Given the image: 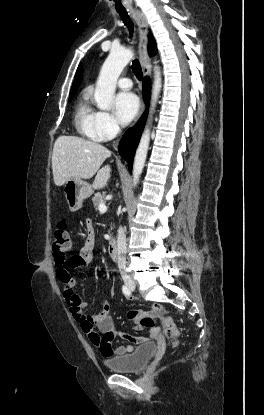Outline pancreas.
Masks as SVG:
<instances>
[{"instance_id":"1","label":"pancreas","mask_w":264,"mask_h":415,"mask_svg":"<svg viewBox=\"0 0 264 415\" xmlns=\"http://www.w3.org/2000/svg\"><path fill=\"white\" fill-rule=\"evenodd\" d=\"M92 202H93L94 208L97 210L98 209V206L100 204H104L105 203V201H104V195H102L101 193H96L94 195V197L92 198Z\"/></svg>"}]
</instances>
